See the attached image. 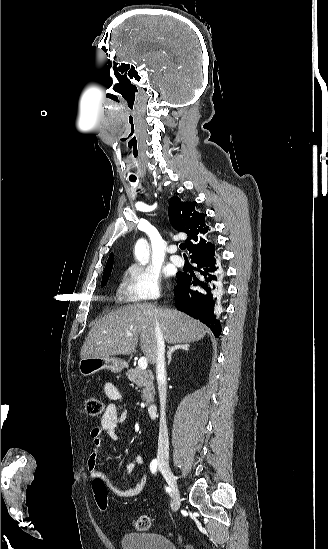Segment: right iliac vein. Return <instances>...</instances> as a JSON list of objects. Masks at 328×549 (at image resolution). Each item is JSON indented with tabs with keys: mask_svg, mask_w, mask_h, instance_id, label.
<instances>
[{
	"mask_svg": "<svg viewBox=\"0 0 328 549\" xmlns=\"http://www.w3.org/2000/svg\"><path fill=\"white\" fill-rule=\"evenodd\" d=\"M158 466H159V469H160L161 473L163 474L165 480L167 481V483L169 484V486L172 490L173 497L175 499V508H174V510L177 511L180 508L181 497H180V492L178 490V486H177V482L175 480V477L172 474V472H171V470H170V468L167 464V461L159 460L158 461Z\"/></svg>",
	"mask_w": 328,
	"mask_h": 549,
	"instance_id": "right-iliac-vein-1",
	"label": "right iliac vein"
}]
</instances>
